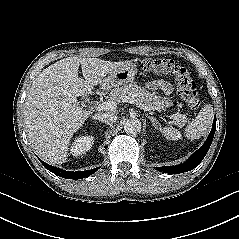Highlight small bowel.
Returning a JSON list of instances; mask_svg holds the SVG:
<instances>
[{"mask_svg": "<svg viewBox=\"0 0 239 239\" xmlns=\"http://www.w3.org/2000/svg\"><path fill=\"white\" fill-rule=\"evenodd\" d=\"M152 89H160L164 94H169L172 91V86L167 81H157L150 84Z\"/></svg>", "mask_w": 239, "mask_h": 239, "instance_id": "small-bowel-1", "label": "small bowel"}]
</instances>
